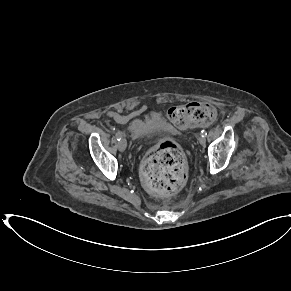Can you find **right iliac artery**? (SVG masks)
<instances>
[{
  "label": "right iliac artery",
  "instance_id": "right-iliac-artery-1",
  "mask_svg": "<svg viewBox=\"0 0 291 291\" xmlns=\"http://www.w3.org/2000/svg\"><path fill=\"white\" fill-rule=\"evenodd\" d=\"M121 138H122V134H121V132L118 131V132L116 133V139H117L118 141H120Z\"/></svg>",
  "mask_w": 291,
  "mask_h": 291
}]
</instances>
